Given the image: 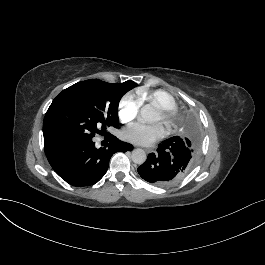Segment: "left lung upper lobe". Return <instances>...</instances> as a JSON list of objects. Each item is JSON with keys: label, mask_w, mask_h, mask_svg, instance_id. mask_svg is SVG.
Returning a JSON list of instances; mask_svg holds the SVG:
<instances>
[{"label": "left lung upper lobe", "mask_w": 265, "mask_h": 265, "mask_svg": "<svg viewBox=\"0 0 265 265\" xmlns=\"http://www.w3.org/2000/svg\"><path fill=\"white\" fill-rule=\"evenodd\" d=\"M185 134L181 135L180 138L185 143V146L188 148L191 159L189 166H193L200 150V145H201V132L200 128L197 124V122L193 119L190 118L187 122V125L185 127Z\"/></svg>", "instance_id": "left-lung-upper-lobe-1"}]
</instances>
